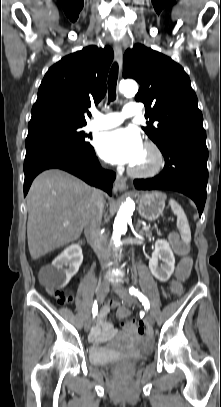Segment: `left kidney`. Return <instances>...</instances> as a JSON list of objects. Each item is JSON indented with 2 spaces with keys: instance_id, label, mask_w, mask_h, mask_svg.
<instances>
[{
  "instance_id": "5707ae66",
  "label": "left kidney",
  "mask_w": 221,
  "mask_h": 407,
  "mask_svg": "<svg viewBox=\"0 0 221 407\" xmlns=\"http://www.w3.org/2000/svg\"><path fill=\"white\" fill-rule=\"evenodd\" d=\"M158 260H161L163 264L158 265ZM175 268V257L166 240L158 239L155 242V250L152 253V257L149 260V269L152 275L161 282L169 280L173 274Z\"/></svg>"
}]
</instances>
